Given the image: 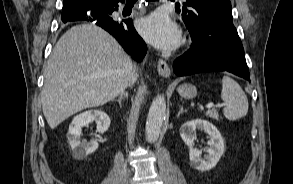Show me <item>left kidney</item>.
Instances as JSON below:
<instances>
[{"label": "left kidney", "mask_w": 293, "mask_h": 184, "mask_svg": "<svg viewBox=\"0 0 293 184\" xmlns=\"http://www.w3.org/2000/svg\"><path fill=\"white\" fill-rule=\"evenodd\" d=\"M196 129L204 130L209 136L207 154L201 157L202 151L194 148V133ZM180 135L189 147L190 164L199 171H208L216 166L224 154V140L218 129L210 122L195 119L184 123L180 128Z\"/></svg>", "instance_id": "5707ae66"}]
</instances>
